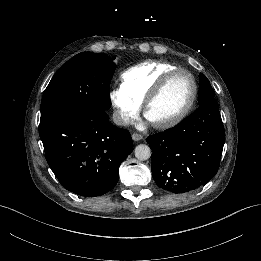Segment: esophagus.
Returning <instances> with one entry per match:
<instances>
[{
	"mask_svg": "<svg viewBox=\"0 0 261 261\" xmlns=\"http://www.w3.org/2000/svg\"><path fill=\"white\" fill-rule=\"evenodd\" d=\"M131 137L134 141H139V140L143 139V136L141 134H138V133H133Z\"/></svg>",
	"mask_w": 261,
	"mask_h": 261,
	"instance_id": "obj_1",
	"label": "esophagus"
}]
</instances>
